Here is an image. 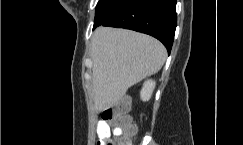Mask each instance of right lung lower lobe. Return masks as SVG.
I'll list each match as a JSON object with an SVG mask.
<instances>
[{
	"instance_id": "1",
	"label": "right lung lower lobe",
	"mask_w": 243,
	"mask_h": 145,
	"mask_svg": "<svg viewBox=\"0 0 243 145\" xmlns=\"http://www.w3.org/2000/svg\"><path fill=\"white\" fill-rule=\"evenodd\" d=\"M99 25L149 34L170 53L177 25L176 0H99L93 29Z\"/></svg>"
}]
</instances>
